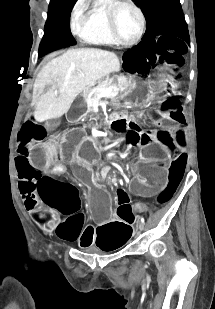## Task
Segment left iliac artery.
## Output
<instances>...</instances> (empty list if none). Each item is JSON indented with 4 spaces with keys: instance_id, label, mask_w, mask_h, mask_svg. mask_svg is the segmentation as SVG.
Here are the masks:
<instances>
[{
    "instance_id": "obj_1",
    "label": "left iliac artery",
    "mask_w": 215,
    "mask_h": 309,
    "mask_svg": "<svg viewBox=\"0 0 215 309\" xmlns=\"http://www.w3.org/2000/svg\"><path fill=\"white\" fill-rule=\"evenodd\" d=\"M141 221L144 223V218H141Z\"/></svg>"
}]
</instances>
